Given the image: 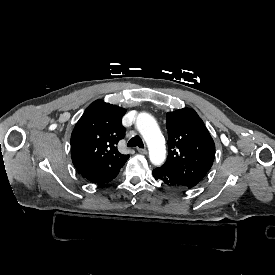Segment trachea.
Wrapping results in <instances>:
<instances>
[{
	"label": "trachea",
	"instance_id": "trachea-1",
	"mask_svg": "<svg viewBox=\"0 0 275 275\" xmlns=\"http://www.w3.org/2000/svg\"><path fill=\"white\" fill-rule=\"evenodd\" d=\"M128 147H140V148H144V144L142 139L139 136H135L133 138H131L127 144Z\"/></svg>",
	"mask_w": 275,
	"mask_h": 275
}]
</instances>
